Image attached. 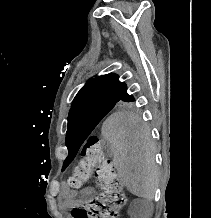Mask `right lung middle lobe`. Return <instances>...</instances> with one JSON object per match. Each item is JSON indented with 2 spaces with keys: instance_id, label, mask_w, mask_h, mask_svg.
<instances>
[{
  "instance_id": "dd1d6c3e",
  "label": "right lung middle lobe",
  "mask_w": 211,
  "mask_h": 218,
  "mask_svg": "<svg viewBox=\"0 0 211 218\" xmlns=\"http://www.w3.org/2000/svg\"><path fill=\"white\" fill-rule=\"evenodd\" d=\"M126 88L123 89V92ZM134 98L122 100H99L85 102L70 109L66 142L85 140L102 118L111 110L127 109L133 106Z\"/></svg>"
}]
</instances>
